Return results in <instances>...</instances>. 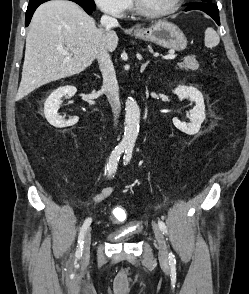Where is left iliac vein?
<instances>
[{"instance_id":"1","label":"left iliac vein","mask_w":249,"mask_h":294,"mask_svg":"<svg viewBox=\"0 0 249 294\" xmlns=\"http://www.w3.org/2000/svg\"><path fill=\"white\" fill-rule=\"evenodd\" d=\"M153 231H154L155 239L157 242L159 259H160L161 263L167 264V262H168V249H167V245H166L163 233H162L161 229L155 223H153Z\"/></svg>"}]
</instances>
